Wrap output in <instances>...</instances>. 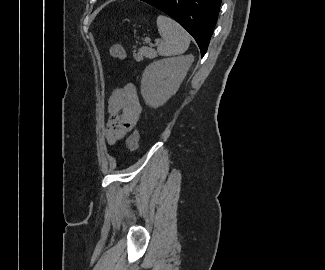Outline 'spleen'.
Listing matches in <instances>:
<instances>
[{"instance_id":"3e777b00","label":"spleen","mask_w":325,"mask_h":270,"mask_svg":"<svg viewBox=\"0 0 325 270\" xmlns=\"http://www.w3.org/2000/svg\"><path fill=\"white\" fill-rule=\"evenodd\" d=\"M157 27L159 34L165 40L157 47L159 55H180L188 49L190 36L176 21L167 16L159 15L157 17Z\"/></svg>"}]
</instances>
